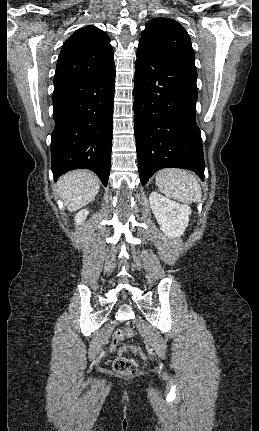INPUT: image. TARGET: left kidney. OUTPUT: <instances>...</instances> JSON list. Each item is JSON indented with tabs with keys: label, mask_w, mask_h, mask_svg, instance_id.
I'll use <instances>...</instances> for the list:
<instances>
[{
	"label": "left kidney",
	"mask_w": 259,
	"mask_h": 431,
	"mask_svg": "<svg viewBox=\"0 0 259 431\" xmlns=\"http://www.w3.org/2000/svg\"><path fill=\"white\" fill-rule=\"evenodd\" d=\"M151 210L161 230L169 238L183 235L189 223L191 208L153 191L149 196Z\"/></svg>",
	"instance_id": "1"
}]
</instances>
